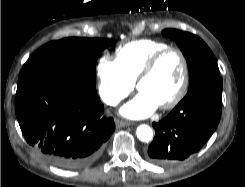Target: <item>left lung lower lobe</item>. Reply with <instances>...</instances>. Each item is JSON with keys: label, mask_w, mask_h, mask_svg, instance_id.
I'll return each instance as SVG.
<instances>
[{"label": "left lung lower lobe", "mask_w": 245, "mask_h": 187, "mask_svg": "<svg viewBox=\"0 0 245 187\" xmlns=\"http://www.w3.org/2000/svg\"><path fill=\"white\" fill-rule=\"evenodd\" d=\"M221 95V78L188 90L167 117L152 124L156 135L146 154L148 160L173 164L198 152L220 121Z\"/></svg>", "instance_id": "0a47b994"}]
</instances>
